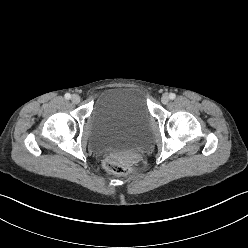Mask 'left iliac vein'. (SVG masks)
I'll return each instance as SVG.
<instances>
[{
    "label": "left iliac vein",
    "mask_w": 248,
    "mask_h": 248,
    "mask_svg": "<svg viewBox=\"0 0 248 248\" xmlns=\"http://www.w3.org/2000/svg\"><path fill=\"white\" fill-rule=\"evenodd\" d=\"M161 102L163 104H167L169 102V95L167 93L163 94V96L161 98Z\"/></svg>",
    "instance_id": "1"
}]
</instances>
